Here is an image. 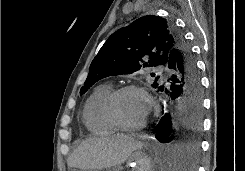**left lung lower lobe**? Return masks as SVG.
<instances>
[{"label": "left lung lower lobe", "instance_id": "obj_1", "mask_svg": "<svg viewBox=\"0 0 245 171\" xmlns=\"http://www.w3.org/2000/svg\"><path fill=\"white\" fill-rule=\"evenodd\" d=\"M171 69L167 87L160 91L168 95V107L155 129V137L161 143H172L175 147L174 162L178 167H195L199 141L194 136L177 137L179 126L197 129L202 112V90L196 62L187 43L170 55L166 65Z\"/></svg>", "mask_w": 245, "mask_h": 171}]
</instances>
